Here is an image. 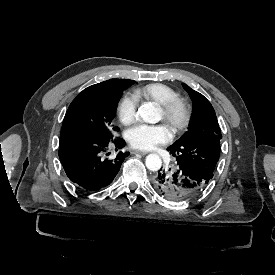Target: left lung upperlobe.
I'll return each mask as SVG.
<instances>
[{
    "label": "left lung upper lobe",
    "instance_id": "5c2ea615",
    "mask_svg": "<svg viewBox=\"0 0 275 275\" xmlns=\"http://www.w3.org/2000/svg\"><path fill=\"white\" fill-rule=\"evenodd\" d=\"M182 85L193 101L191 127L167 150L176 157L178 165L210 180L220 155L221 130L211 103L199 92Z\"/></svg>",
    "mask_w": 275,
    "mask_h": 275
}]
</instances>
